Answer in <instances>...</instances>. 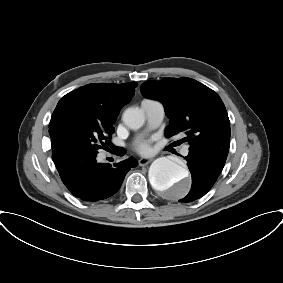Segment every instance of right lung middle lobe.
<instances>
[{
	"label": "right lung middle lobe",
	"mask_w": 283,
	"mask_h": 283,
	"mask_svg": "<svg viewBox=\"0 0 283 283\" xmlns=\"http://www.w3.org/2000/svg\"><path fill=\"white\" fill-rule=\"evenodd\" d=\"M113 132L114 128L102 125L96 118L68 109L49 125L52 159L62 164L85 151L98 153L100 149L113 148L110 142Z\"/></svg>",
	"instance_id": "obj_1"
}]
</instances>
